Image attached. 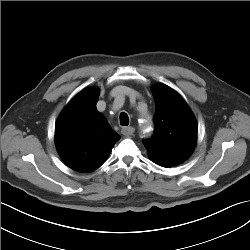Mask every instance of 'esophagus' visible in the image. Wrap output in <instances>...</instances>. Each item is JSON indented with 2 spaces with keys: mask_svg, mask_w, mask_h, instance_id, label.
I'll return each mask as SVG.
<instances>
[{
  "mask_svg": "<svg viewBox=\"0 0 250 250\" xmlns=\"http://www.w3.org/2000/svg\"><path fill=\"white\" fill-rule=\"evenodd\" d=\"M121 132L125 136H131L135 132V128L130 127V126L129 127H122Z\"/></svg>",
  "mask_w": 250,
  "mask_h": 250,
  "instance_id": "34e87169",
  "label": "esophagus"
}]
</instances>
